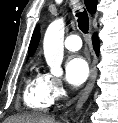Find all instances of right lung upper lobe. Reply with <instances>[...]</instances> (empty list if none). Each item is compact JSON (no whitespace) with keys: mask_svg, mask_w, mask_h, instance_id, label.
Listing matches in <instances>:
<instances>
[{"mask_svg":"<svg viewBox=\"0 0 118 123\" xmlns=\"http://www.w3.org/2000/svg\"><path fill=\"white\" fill-rule=\"evenodd\" d=\"M84 2L89 13H95L97 0H84ZM39 40H40V33H39V28L37 27L32 35L31 42L29 45V49H28L29 56H32L33 53L35 52Z\"/></svg>","mask_w":118,"mask_h":123,"instance_id":"obj_1","label":"right lung upper lobe"}]
</instances>
